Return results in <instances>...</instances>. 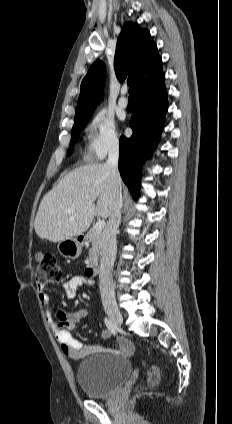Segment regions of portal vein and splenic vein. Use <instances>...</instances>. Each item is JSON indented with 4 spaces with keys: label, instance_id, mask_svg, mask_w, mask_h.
Instances as JSON below:
<instances>
[{
    "label": "portal vein and splenic vein",
    "instance_id": "1",
    "mask_svg": "<svg viewBox=\"0 0 232 424\" xmlns=\"http://www.w3.org/2000/svg\"><path fill=\"white\" fill-rule=\"evenodd\" d=\"M75 209H71L70 211L73 212ZM95 229L98 231H101L104 227H105V221L103 220H98L95 224Z\"/></svg>",
    "mask_w": 232,
    "mask_h": 424
}]
</instances>
